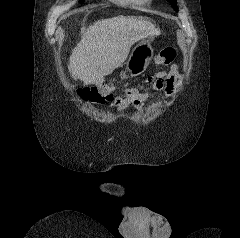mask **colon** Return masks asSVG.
<instances>
[{"label": "colon", "mask_w": 240, "mask_h": 238, "mask_svg": "<svg viewBox=\"0 0 240 238\" xmlns=\"http://www.w3.org/2000/svg\"><path fill=\"white\" fill-rule=\"evenodd\" d=\"M176 57L173 48L162 49L156 56V63L159 65H169ZM114 86L109 83H102L78 89V95L85 101L92 103H104L113 99Z\"/></svg>", "instance_id": "1"}]
</instances>
